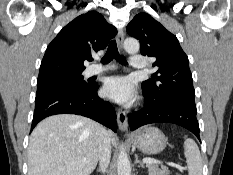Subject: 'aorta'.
<instances>
[{
    "label": "aorta",
    "mask_w": 233,
    "mask_h": 175,
    "mask_svg": "<svg viewBox=\"0 0 233 175\" xmlns=\"http://www.w3.org/2000/svg\"><path fill=\"white\" fill-rule=\"evenodd\" d=\"M124 49L130 54H135L139 51L140 44L136 39L127 38L124 41ZM117 175H131L130 161L123 146L118 154Z\"/></svg>",
    "instance_id": "1"
}]
</instances>
